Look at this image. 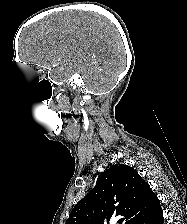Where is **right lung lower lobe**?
<instances>
[{
	"label": "right lung lower lobe",
	"mask_w": 187,
	"mask_h": 224,
	"mask_svg": "<svg viewBox=\"0 0 187 224\" xmlns=\"http://www.w3.org/2000/svg\"><path fill=\"white\" fill-rule=\"evenodd\" d=\"M163 212L160 210L157 214H154L151 217L140 220L137 224H163Z\"/></svg>",
	"instance_id": "1"
}]
</instances>
